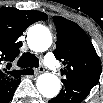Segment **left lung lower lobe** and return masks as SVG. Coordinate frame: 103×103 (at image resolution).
Here are the masks:
<instances>
[{
	"mask_svg": "<svg viewBox=\"0 0 103 103\" xmlns=\"http://www.w3.org/2000/svg\"><path fill=\"white\" fill-rule=\"evenodd\" d=\"M59 95L49 103H80L90 93L92 87L84 84L65 81Z\"/></svg>",
	"mask_w": 103,
	"mask_h": 103,
	"instance_id": "1",
	"label": "left lung lower lobe"
}]
</instances>
